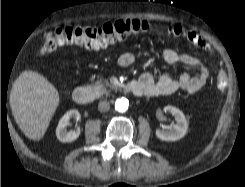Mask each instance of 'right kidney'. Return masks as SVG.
Listing matches in <instances>:
<instances>
[{"instance_id":"right-kidney-1","label":"right kidney","mask_w":245,"mask_h":187,"mask_svg":"<svg viewBox=\"0 0 245 187\" xmlns=\"http://www.w3.org/2000/svg\"><path fill=\"white\" fill-rule=\"evenodd\" d=\"M71 118H75L78 121L80 119L79 111L76 109L69 110L59 120L58 126L56 128V136L58 140H60L61 142H64V143L73 142L80 135L79 128H77V130H70V131L66 129Z\"/></svg>"}]
</instances>
